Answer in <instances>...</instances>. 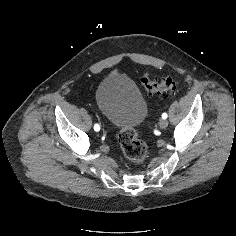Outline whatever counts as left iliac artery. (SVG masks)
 Returning a JSON list of instances; mask_svg holds the SVG:
<instances>
[{"instance_id":"44dca946","label":"left iliac artery","mask_w":236,"mask_h":236,"mask_svg":"<svg viewBox=\"0 0 236 236\" xmlns=\"http://www.w3.org/2000/svg\"><path fill=\"white\" fill-rule=\"evenodd\" d=\"M167 117H168L167 113H163V114H162V118H163V119H166Z\"/></svg>"}]
</instances>
